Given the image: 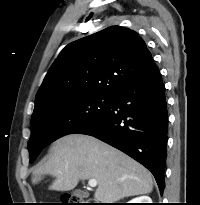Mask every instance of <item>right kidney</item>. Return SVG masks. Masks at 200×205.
<instances>
[{"label":"right kidney","mask_w":200,"mask_h":205,"mask_svg":"<svg viewBox=\"0 0 200 205\" xmlns=\"http://www.w3.org/2000/svg\"><path fill=\"white\" fill-rule=\"evenodd\" d=\"M128 203H152V200L149 196H139L136 198H133L131 201Z\"/></svg>","instance_id":"right-kidney-1"}]
</instances>
